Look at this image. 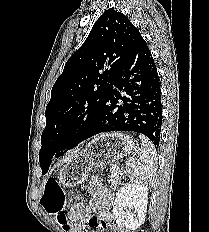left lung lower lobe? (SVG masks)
Segmentation results:
<instances>
[{"label": "left lung lower lobe", "mask_w": 209, "mask_h": 232, "mask_svg": "<svg viewBox=\"0 0 209 232\" xmlns=\"http://www.w3.org/2000/svg\"><path fill=\"white\" fill-rule=\"evenodd\" d=\"M115 86L127 95L112 90L82 141L103 132L132 131L144 134L158 148L162 125L160 80L143 37L120 69Z\"/></svg>", "instance_id": "left-lung-lower-lobe-1"}]
</instances>
